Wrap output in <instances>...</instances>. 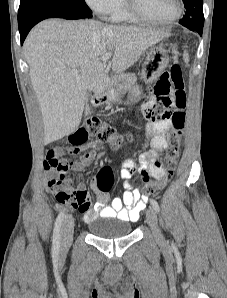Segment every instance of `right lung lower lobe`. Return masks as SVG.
<instances>
[{
    "label": "right lung lower lobe",
    "instance_id": "right-lung-lower-lobe-1",
    "mask_svg": "<svg viewBox=\"0 0 227 298\" xmlns=\"http://www.w3.org/2000/svg\"><path fill=\"white\" fill-rule=\"evenodd\" d=\"M91 17H92V13L67 10L63 8H45V9L38 10L18 22L21 44H23L31 28L34 25H36L38 22L44 19H47V18L83 19V18H91Z\"/></svg>",
    "mask_w": 227,
    "mask_h": 298
}]
</instances>
